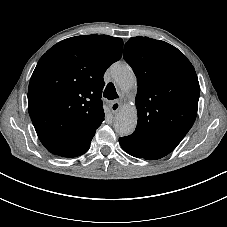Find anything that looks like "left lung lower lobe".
Wrapping results in <instances>:
<instances>
[{"label":"left lung lower lobe","mask_w":227,"mask_h":227,"mask_svg":"<svg viewBox=\"0 0 227 227\" xmlns=\"http://www.w3.org/2000/svg\"><path fill=\"white\" fill-rule=\"evenodd\" d=\"M121 147L130 155L137 158L148 160L159 159L167 155V153L159 151L152 145L137 141L130 136L119 138Z\"/></svg>","instance_id":"left-lung-lower-lobe-1"}]
</instances>
